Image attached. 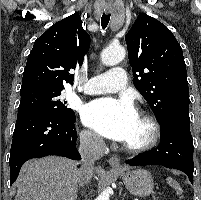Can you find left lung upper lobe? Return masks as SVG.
<instances>
[{"label": "left lung upper lobe", "instance_id": "left-lung-upper-lobe-1", "mask_svg": "<svg viewBox=\"0 0 201 200\" xmlns=\"http://www.w3.org/2000/svg\"><path fill=\"white\" fill-rule=\"evenodd\" d=\"M125 40L134 85L158 122L175 113L189 114L186 65L172 32L155 18L141 13Z\"/></svg>", "mask_w": 201, "mask_h": 200}]
</instances>
